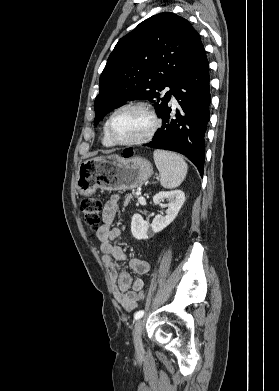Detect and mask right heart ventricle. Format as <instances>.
Wrapping results in <instances>:
<instances>
[{
  "mask_svg": "<svg viewBox=\"0 0 279 391\" xmlns=\"http://www.w3.org/2000/svg\"><path fill=\"white\" fill-rule=\"evenodd\" d=\"M102 144H103V146H105V147H107V148H110V147H113V146H114V145L109 141V139L107 138V135H106V123L104 124V127H103Z\"/></svg>",
  "mask_w": 279,
  "mask_h": 391,
  "instance_id": "obj_1",
  "label": "right heart ventricle"
}]
</instances>
